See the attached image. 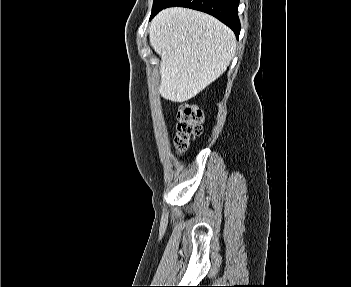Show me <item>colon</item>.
I'll return each mask as SVG.
<instances>
[{
  "mask_svg": "<svg viewBox=\"0 0 351 287\" xmlns=\"http://www.w3.org/2000/svg\"><path fill=\"white\" fill-rule=\"evenodd\" d=\"M177 117L178 134L175 145L179 152H184L202 132L203 113L198 106L183 103L178 109Z\"/></svg>",
  "mask_w": 351,
  "mask_h": 287,
  "instance_id": "obj_1",
  "label": "colon"
}]
</instances>
